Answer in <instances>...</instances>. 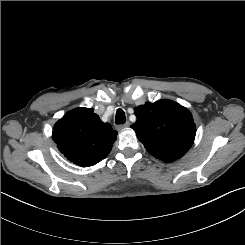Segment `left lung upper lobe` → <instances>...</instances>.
I'll use <instances>...</instances> for the list:
<instances>
[{
  "instance_id": "left-lung-upper-lobe-1",
  "label": "left lung upper lobe",
  "mask_w": 245,
  "mask_h": 245,
  "mask_svg": "<svg viewBox=\"0 0 245 245\" xmlns=\"http://www.w3.org/2000/svg\"><path fill=\"white\" fill-rule=\"evenodd\" d=\"M136 132L146 150L160 160H177L192 146L196 129L188 109L161 99L135 108Z\"/></svg>"
}]
</instances>
